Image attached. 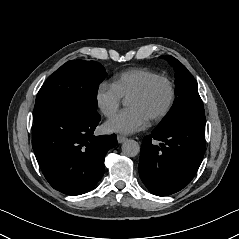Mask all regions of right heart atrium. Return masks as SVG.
<instances>
[{
  "label": "right heart atrium",
  "instance_id": "obj_1",
  "mask_svg": "<svg viewBox=\"0 0 239 239\" xmlns=\"http://www.w3.org/2000/svg\"><path fill=\"white\" fill-rule=\"evenodd\" d=\"M96 101L101 112L110 117L121 106L122 97L114 85L103 83L97 90Z\"/></svg>",
  "mask_w": 239,
  "mask_h": 239
}]
</instances>
